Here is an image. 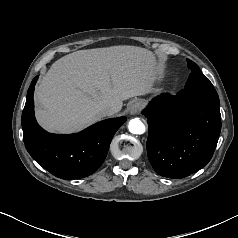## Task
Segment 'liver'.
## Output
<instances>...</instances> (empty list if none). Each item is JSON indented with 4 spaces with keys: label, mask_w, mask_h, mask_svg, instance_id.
<instances>
[{
    "label": "liver",
    "mask_w": 238,
    "mask_h": 238,
    "mask_svg": "<svg viewBox=\"0 0 238 238\" xmlns=\"http://www.w3.org/2000/svg\"><path fill=\"white\" fill-rule=\"evenodd\" d=\"M159 70L147 49L111 46L79 50L52 64L35 92L38 123L50 132L72 133L100 120L99 108L154 91Z\"/></svg>",
    "instance_id": "1"
}]
</instances>
